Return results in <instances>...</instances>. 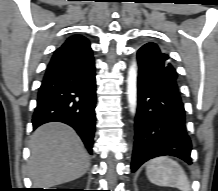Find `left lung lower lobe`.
<instances>
[{
	"mask_svg": "<svg viewBox=\"0 0 218 191\" xmlns=\"http://www.w3.org/2000/svg\"><path fill=\"white\" fill-rule=\"evenodd\" d=\"M137 56L138 106L131 170L135 172L147 160L162 155L191 164L192 147L176 72L154 64L142 50Z\"/></svg>",
	"mask_w": 218,
	"mask_h": 191,
	"instance_id": "obj_1",
	"label": "left lung lower lobe"
}]
</instances>
